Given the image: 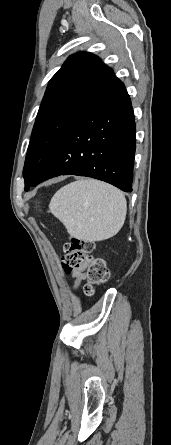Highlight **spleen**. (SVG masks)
I'll return each mask as SVG.
<instances>
[{
  "mask_svg": "<svg viewBox=\"0 0 171 445\" xmlns=\"http://www.w3.org/2000/svg\"><path fill=\"white\" fill-rule=\"evenodd\" d=\"M49 209L71 236L102 241L122 228L127 203L119 189L98 180L80 179L58 190Z\"/></svg>",
  "mask_w": 171,
  "mask_h": 445,
  "instance_id": "3e777b00",
  "label": "spleen"
}]
</instances>
